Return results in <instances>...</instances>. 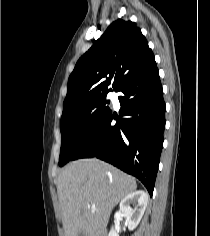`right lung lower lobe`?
Wrapping results in <instances>:
<instances>
[{
    "mask_svg": "<svg viewBox=\"0 0 210 236\" xmlns=\"http://www.w3.org/2000/svg\"><path fill=\"white\" fill-rule=\"evenodd\" d=\"M115 92L121 109L110 112L71 160L97 157L137 177L153 194L163 147L165 102L156 64L125 81Z\"/></svg>",
    "mask_w": 210,
    "mask_h": 236,
    "instance_id": "right-lung-lower-lobe-1",
    "label": "right lung lower lobe"
}]
</instances>
